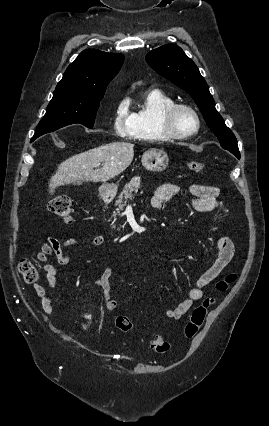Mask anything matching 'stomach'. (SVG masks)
I'll list each match as a JSON object with an SVG mask.
<instances>
[{
  "label": "stomach",
  "instance_id": "obj_1",
  "mask_svg": "<svg viewBox=\"0 0 269 426\" xmlns=\"http://www.w3.org/2000/svg\"><path fill=\"white\" fill-rule=\"evenodd\" d=\"M168 156L167 154L158 149H152L146 151L142 156V165L145 169L154 172H161L168 167ZM117 192V185L113 183H104L99 188L101 196L110 198Z\"/></svg>",
  "mask_w": 269,
  "mask_h": 426
}]
</instances>
